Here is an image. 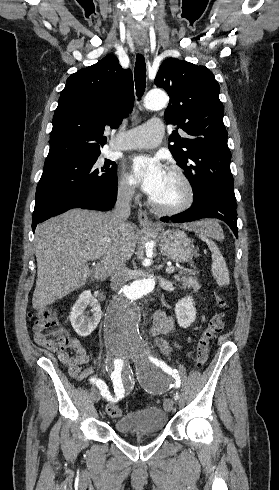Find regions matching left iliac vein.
<instances>
[{
	"mask_svg": "<svg viewBox=\"0 0 279 490\" xmlns=\"http://www.w3.org/2000/svg\"><path fill=\"white\" fill-rule=\"evenodd\" d=\"M128 358H129V360H131V361H132V360H138V359H139V356H138V355H135V356H134V355H132V354H131V355H129V357H128ZM165 410H166L167 412H171V411H173V400H171V399H167V400L165 401Z\"/></svg>",
	"mask_w": 279,
	"mask_h": 490,
	"instance_id": "obj_1",
	"label": "left iliac vein"
}]
</instances>
